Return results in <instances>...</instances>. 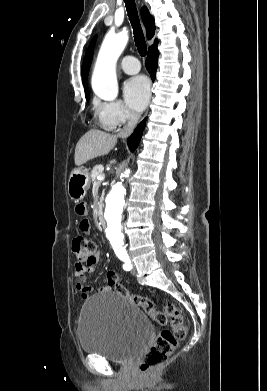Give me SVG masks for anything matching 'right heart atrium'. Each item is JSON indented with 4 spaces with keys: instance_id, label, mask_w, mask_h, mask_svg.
I'll return each mask as SVG.
<instances>
[{
    "instance_id": "obj_1",
    "label": "right heart atrium",
    "mask_w": 267,
    "mask_h": 391,
    "mask_svg": "<svg viewBox=\"0 0 267 391\" xmlns=\"http://www.w3.org/2000/svg\"><path fill=\"white\" fill-rule=\"evenodd\" d=\"M95 114L99 122L110 129H115L136 120L133 113L122 101H98L95 104Z\"/></svg>"
}]
</instances>
